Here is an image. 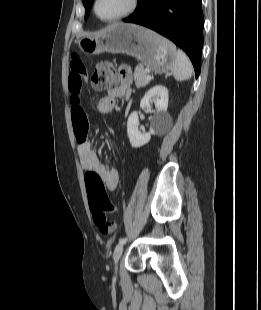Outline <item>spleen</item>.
Returning a JSON list of instances; mask_svg holds the SVG:
<instances>
[{"mask_svg": "<svg viewBox=\"0 0 261 310\" xmlns=\"http://www.w3.org/2000/svg\"><path fill=\"white\" fill-rule=\"evenodd\" d=\"M173 76L177 81H185L192 77L193 68L187 55L181 51H177L176 61L172 67Z\"/></svg>", "mask_w": 261, "mask_h": 310, "instance_id": "1", "label": "spleen"}]
</instances>
